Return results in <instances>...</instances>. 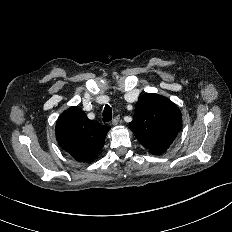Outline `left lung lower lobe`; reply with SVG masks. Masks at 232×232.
I'll return each instance as SVG.
<instances>
[{
	"instance_id": "left-lung-lower-lobe-1",
	"label": "left lung lower lobe",
	"mask_w": 232,
	"mask_h": 232,
	"mask_svg": "<svg viewBox=\"0 0 232 232\" xmlns=\"http://www.w3.org/2000/svg\"><path fill=\"white\" fill-rule=\"evenodd\" d=\"M164 151H166V150L160 151V152H159V153H157V154H160V153H162V152H164ZM157 154H155V155H157Z\"/></svg>"
}]
</instances>
